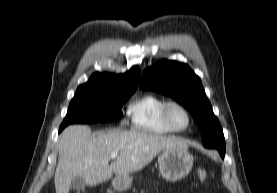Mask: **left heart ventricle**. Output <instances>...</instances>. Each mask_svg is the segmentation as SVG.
Segmentation results:
<instances>
[{
	"mask_svg": "<svg viewBox=\"0 0 277 193\" xmlns=\"http://www.w3.org/2000/svg\"><path fill=\"white\" fill-rule=\"evenodd\" d=\"M170 120L176 128H184L187 125L185 113L178 107H172L169 112Z\"/></svg>",
	"mask_w": 277,
	"mask_h": 193,
	"instance_id": "left-heart-ventricle-1",
	"label": "left heart ventricle"
}]
</instances>
